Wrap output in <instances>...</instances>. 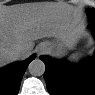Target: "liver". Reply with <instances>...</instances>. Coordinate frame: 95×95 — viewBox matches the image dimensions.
Segmentation results:
<instances>
[{
    "label": "liver",
    "instance_id": "obj_1",
    "mask_svg": "<svg viewBox=\"0 0 95 95\" xmlns=\"http://www.w3.org/2000/svg\"><path fill=\"white\" fill-rule=\"evenodd\" d=\"M79 13L56 3H27L2 6L0 9V64L5 66L24 59L33 50L34 41L58 37L63 31L79 26ZM81 29V27L79 26ZM20 46L22 56L13 55Z\"/></svg>",
    "mask_w": 95,
    "mask_h": 95
}]
</instances>
